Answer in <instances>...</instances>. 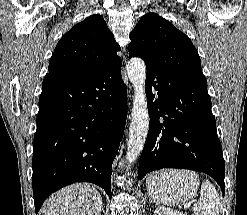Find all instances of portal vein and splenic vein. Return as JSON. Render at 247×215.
Masks as SVG:
<instances>
[{
	"instance_id": "1",
	"label": "portal vein and splenic vein",
	"mask_w": 247,
	"mask_h": 215,
	"mask_svg": "<svg viewBox=\"0 0 247 215\" xmlns=\"http://www.w3.org/2000/svg\"><path fill=\"white\" fill-rule=\"evenodd\" d=\"M191 203H187L186 205H184L185 207H189Z\"/></svg>"
}]
</instances>
